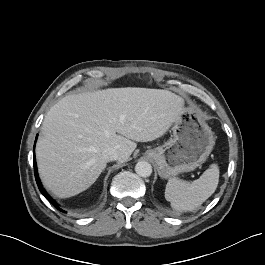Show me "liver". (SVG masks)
Returning a JSON list of instances; mask_svg holds the SVG:
<instances>
[{"mask_svg": "<svg viewBox=\"0 0 265 265\" xmlns=\"http://www.w3.org/2000/svg\"><path fill=\"white\" fill-rule=\"evenodd\" d=\"M184 100L167 90L109 88L68 95L50 108L36 144L43 185L59 198L88 189L114 148L125 162L137 147L163 136L183 113Z\"/></svg>", "mask_w": 265, "mask_h": 265, "instance_id": "1", "label": "liver"}]
</instances>
